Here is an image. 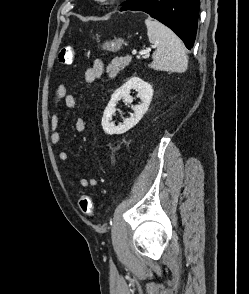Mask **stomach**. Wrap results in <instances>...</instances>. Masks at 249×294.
Returning a JSON list of instances; mask_svg holds the SVG:
<instances>
[{"instance_id":"0dacf381","label":"stomach","mask_w":249,"mask_h":294,"mask_svg":"<svg viewBox=\"0 0 249 294\" xmlns=\"http://www.w3.org/2000/svg\"><path fill=\"white\" fill-rule=\"evenodd\" d=\"M123 43H124V39L118 38V39H114L112 41H106L104 43V47L107 50L116 51V50H118V49L121 48V46L123 45Z\"/></svg>"}]
</instances>
